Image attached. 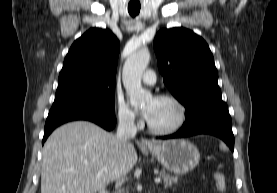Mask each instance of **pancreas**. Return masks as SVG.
Wrapping results in <instances>:
<instances>
[{"label":"pancreas","mask_w":277,"mask_h":193,"mask_svg":"<svg viewBox=\"0 0 277 193\" xmlns=\"http://www.w3.org/2000/svg\"><path fill=\"white\" fill-rule=\"evenodd\" d=\"M160 177L163 178L164 185L172 186L174 183L178 182V176H171L170 174H167L164 170L160 171ZM116 193H128L124 189H119Z\"/></svg>","instance_id":"pancreas-1"}]
</instances>
